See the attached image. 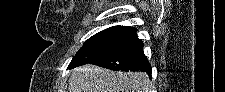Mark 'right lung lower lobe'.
Wrapping results in <instances>:
<instances>
[{
  "label": "right lung lower lobe",
  "mask_w": 225,
  "mask_h": 92,
  "mask_svg": "<svg viewBox=\"0 0 225 92\" xmlns=\"http://www.w3.org/2000/svg\"><path fill=\"white\" fill-rule=\"evenodd\" d=\"M90 64L121 71H146L151 77V65L143 52V42L137 40L125 47L102 55Z\"/></svg>",
  "instance_id": "obj_1"
}]
</instances>
